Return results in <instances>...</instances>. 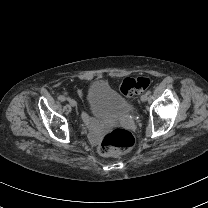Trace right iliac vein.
I'll use <instances>...</instances> for the list:
<instances>
[{"label": "right iliac vein", "instance_id": "right-iliac-vein-1", "mask_svg": "<svg viewBox=\"0 0 208 208\" xmlns=\"http://www.w3.org/2000/svg\"><path fill=\"white\" fill-rule=\"evenodd\" d=\"M70 105H71L72 107H75V106L77 105V102H76L75 100H71V101H70Z\"/></svg>", "mask_w": 208, "mask_h": 208}]
</instances>
